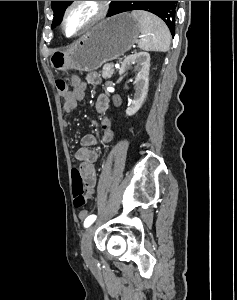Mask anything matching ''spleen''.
<instances>
[{"label": "spleen", "instance_id": "spleen-1", "mask_svg": "<svg viewBox=\"0 0 237 300\" xmlns=\"http://www.w3.org/2000/svg\"><path fill=\"white\" fill-rule=\"evenodd\" d=\"M131 17L138 21L141 29V39L138 41L142 51H162L166 53L170 47V31L156 15L147 11H132Z\"/></svg>", "mask_w": 237, "mask_h": 300}]
</instances>
